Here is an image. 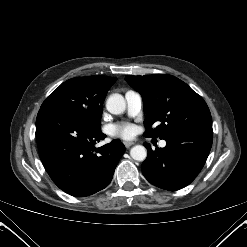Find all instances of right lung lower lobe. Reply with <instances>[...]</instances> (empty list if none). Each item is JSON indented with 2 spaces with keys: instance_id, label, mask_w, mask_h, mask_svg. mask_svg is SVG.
<instances>
[{
  "instance_id": "1",
  "label": "right lung lower lobe",
  "mask_w": 247,
  "mask_h": 247,
  "mask_svg": "<svg viewBox=\"0 0 247 247\" xmlns=\"http://www.w3.org/2000/svg\"><path fill=\"white\" fill-rule=\"evenodd\" d=\"M104 137L100 127L68 111L45 107L38 112L40 159L53 182L69 195L88 196L111 182L125 147L120 141H112L96 148L94 145Z\"/></svg>"
}]
</instances>
